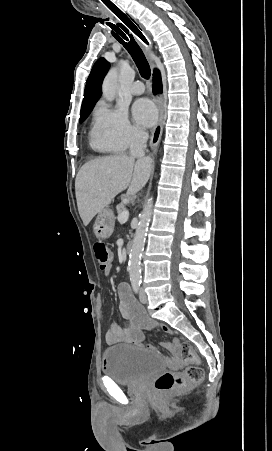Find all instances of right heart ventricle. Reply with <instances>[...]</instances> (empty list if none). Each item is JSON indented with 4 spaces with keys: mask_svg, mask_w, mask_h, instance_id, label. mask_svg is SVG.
Here are the masks:
<instances>
[{
    "mask_svg": "<svg viewBox=\"0 0 272 451\" xmlns=\"http://www.w3.org/2000/svg\"><path fill=\"white\" fill-rule=\"evenodd\" d=\"M91 142L95 148L101 151L110 152L114 151L116 147L110 143L99 140L95 133L91 135Z\"/></svg>",
    "mask_w": 272,
    "mask_h": 451,
    "instance_id": "right-heart-ventricle-1",
    "label": "right heart ventricle"
}]
</instances>
